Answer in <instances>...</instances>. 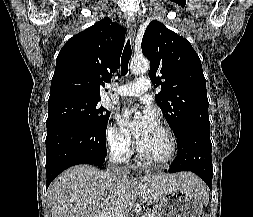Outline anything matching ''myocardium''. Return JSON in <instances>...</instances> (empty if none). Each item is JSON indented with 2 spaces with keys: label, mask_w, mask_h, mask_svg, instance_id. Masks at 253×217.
<instances>
[{
  "label": "myocardium",
  "mask_w": 253,
  "mask_h": 217,
  "mask_svg": "<svg viewBox=\"0 0 253 217\" xmlns=\"http://www.w3.org/2000/svg\"><path fill=\"white\" fill-rule=\"evenodd\" d=\"M157 126L166 133L168 140H169L170 150H169V154L167 155V157L163 160L149 159L141 151L139 142L136 143V151H137L138 158L142 163H144L148 166H152V167H164V166L170 164L176 157L177 140H176V136H175L173 130L168 125H166L164 123H159Z\"/></svg>",
  "instance_id": "f54148a6"
}]
</instances>
